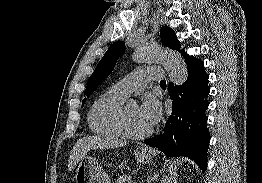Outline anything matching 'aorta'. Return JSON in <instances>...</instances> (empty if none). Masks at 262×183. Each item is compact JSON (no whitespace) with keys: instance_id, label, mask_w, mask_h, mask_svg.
<instances>
[{"instance_id":"obj_1","label":"aorta","mask_w":262,"mask_h":183,"mask_svg":"<svg viewBox=\"0 0 262 183\" xmlns=\"http://www.w3.org/2000/svg\"><path fill=\"white\" fill-rule=\"evenodd\" d=\"M133 59L138 63H160L168 72L174 85H182L188 77L187 65L181 55L161 46H146L135 51Z\"/></svg>"}]
</instances>
